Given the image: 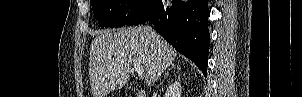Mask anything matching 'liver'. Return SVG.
<instances>
[{
    "label": "liver",
    "mask_w": 302,
    "mask_h": 97,
    "mask_svg": "<svg viewBox=\"0 0 302 97\" xmlns=\"http://www.w3.org/2000/svg\"><path fill=\"white\" fill-rule=\"evenodd\" d=\"M176 50L145 26L109 29L98 33L90 48L89 78L93 97H105L125 85L132 63L143 66L149 87L173 64Z\"/></svg>",
    "instance_id": "1"
}]
</instances>
